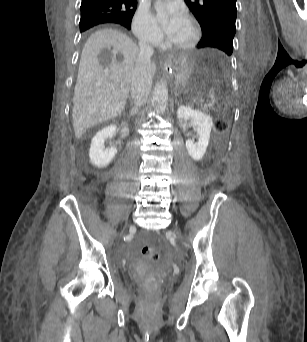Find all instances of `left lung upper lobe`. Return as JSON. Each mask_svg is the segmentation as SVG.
<instances>
[{
    "mask_svg": "<svg viewBox=\"0 0 307 342\" xmlns=\"http://www.w3.org/2000/svg\"><path fill=\"white\" fill-rule=\"evenodd\" d=\"M202 29L198 48H217L227 55L233 52L236 32V0H185Z\"/></svg>",
    "mask_w": 307,
    "mask_h": 342,
    "instance_id": "5c2ea615",
    "label": "left lung upper lobe"
}]
</instances>
